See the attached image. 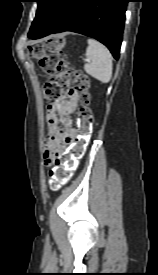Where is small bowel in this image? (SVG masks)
Returning <instances> with one entry per match:
<instances>
[{
  "label": "small bowel",
  "mask_w": 158,
  "mask_h": 275,
  "mask_svg": "<svg viewBox=\"0 0 158 275\" xmlns=\"http://www.w3.org/2000/svg\"><path fill=\"white\" fill-rule=\"evenodd\" d=\"M78 95L70 91L68 99L49 103L47 107L48 134L44 141L43 158L45 165L53 163L55 158L64 153L65 148L73 144L77 134L72 127L71 115L77 107Z\"/></svg>",
  "instance_id": "1"
}]
</instances>
